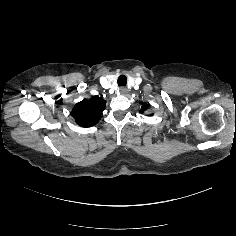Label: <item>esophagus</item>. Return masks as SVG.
Returning <instances> with one entry per match:
<instances>
[{"label":"esophagus","instance_id":"34e87169","mask_svg":"<svg viewBox=\"0 0 236 236\" xmlns=\"http://www.w3.org/2000/svg\"><path fill=\"white\" fill-rule=\"evenodd\" d=\"M119 92L121 95H125L128 92V90L126 87H120Z\"/></svg>","mask_w":236,"mask_h":236}]
</instances>
